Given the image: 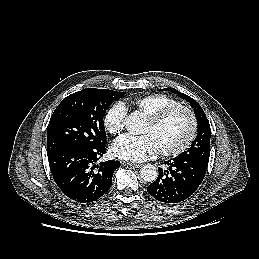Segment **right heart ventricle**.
<instances>
[{"label":"right heart ventricle","instance_id":"e07e8e85","mask_svg":"<svg viewBox=\"0 0 259 259\" xmlns=\"http://www.w3.org/2000/svg\"><path fill=\"white\" fill-rule=\"evenodd\" d=\"M130 103L148 118L167 107L180 104L176 99L161 93L137 96Z\"/></svg>","mask_w":259,"mask_h":259}]
</instances>
